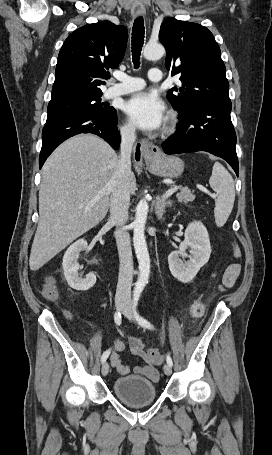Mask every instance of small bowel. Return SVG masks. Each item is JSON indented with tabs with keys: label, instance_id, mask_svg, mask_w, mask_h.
I'll use <instances>...</instances> for the list:
<instances>
[{
	"label": "small bowel",
	"instance_id": "1",
	"mask_svg": "<svg viewBox=\"0 0 272 455\" xmlns=\"http://www.w3.org/2000/svg\"><path fill=\"white\" fill-rule=\"evenodd\" d=\"M234 255L240 257V250L238 247L234 248ZM241 272V267L238 263H232L227 266L222 277L220 289H228L235 285ZM130 352L142 358H147L144 351V345L140 338L131 336L129 338ZM125 350L123 342L116 340L114 342V351L110 355L111 365L118 371L120 375H127L130 372V367L124 363L121 359L120 353ZM134 372L149 378L152 381H157L159 378V372L153 365L140 364L135 366Z\"/></svg>",
	"mask_w": 272,
	"mask_h": 455
}]
</instances>
